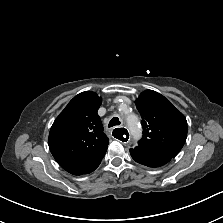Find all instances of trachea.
<instances>
[{
  "label": "trachea",
  "instance_id": "trachea-1",
  "mask_svg": "<svg viewBox=\"0 0 223 223\" xmlns=\"http://www.w3.org/2000/svg\"><path fill=\"white\" fill-rule=\"evenodd\" d=\"M116 125H120V121H119L118 117L112 118L110 120L109 124H108V127H113V126H116Z\"/></svg>",
  "mask_w": 223,
  "mask_h": 223
}]
</instances>
